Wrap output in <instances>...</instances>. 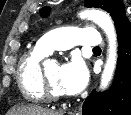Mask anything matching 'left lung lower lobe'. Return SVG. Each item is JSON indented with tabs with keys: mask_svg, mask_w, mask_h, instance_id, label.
Segmentation results:
<instances>
[{
	"mask_svg": "<svg viewBox=\"0 0 131 115\" xmlns=\"http://www.w3.org/2000/svg\"><path fill=\"white\" fill-rule=\"evenodd\" d=\"M118 61L115 79L105 93L92 92L83 103V115H131V23L123 19L116 27Z\"/></svg>",
	"mask_w": 131,
	"mask_h": 115,
	"instance_id": "1",
	"label": "left lung lower lobe"
}]
</instances>
